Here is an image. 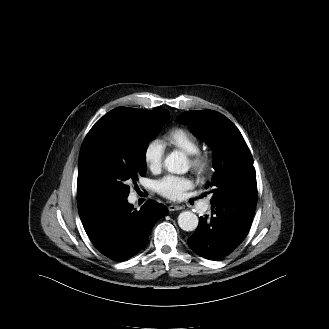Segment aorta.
I'll list each match as a JSON object with an SVG mask.
<instances>
[{
    "label": "aorta",
    "instance_id": "762f6f07",
    "mask_svg": "<svg viewBox=\"0 0 329 329\" xmlns=\"http://www.w3.org/2000/svg\"><path fill=\"white\" fill-rule=\"evenodd\" d=\"M164 167L170 173L184 174L189 170L186 156L179 151L169 154L164 160ZM198 217L191 211L181 212L178 216V225L184 231H193L198 226Z\"/></svg>",
    "mask_w": 329,
    "mask_h": 329
}]
</instances>
